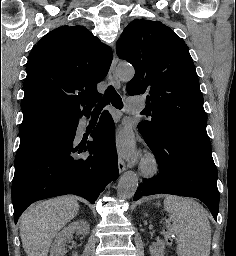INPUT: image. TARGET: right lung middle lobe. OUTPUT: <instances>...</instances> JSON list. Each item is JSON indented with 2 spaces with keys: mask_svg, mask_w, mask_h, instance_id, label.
Segmentation results:
<instances>
[{
  "mask_svg": "<svg viewBox=\"0 0 236 256\" xmlns=\"http://www.w3.org/2000/svg\"><path fill=\"white\" fill-rule=\"evenodd\" d=\"M76 119H67L55 114H42L25 119L20 125V146L25 145L57 129L74 124Z\"/></svg>",
  "mask_w": 236,
  "mask_h": 256,
  "instance_id": "obj_1",
  "label": "right lung middle lobe"
}]
</instances>
